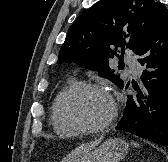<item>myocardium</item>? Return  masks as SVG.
Returning a JSON list of instances; mask_svg holds the SVG:
<instances>
[{"instance_id":"1","label":"myocardium","mask_w":168,"mask_h":162,"mask_svg":"<svg viewBox=\"0 0 168 162\" xmlns=\"http://www.w3.org/2000/svg\"><path fill=\"white\" fill-rule=\"evenodd\" d=\"M82 90H94L98 92H102L109 97L112 102V112L107 120L98 125H85L74 118H72L67 112V102L68 100L77 92ZM118 113V107L111 96V94L101 85L92 83V82H78L70 86L68 89L64 91L61 95L59 102H58V114L60 119L70 128L76 130L77 132H84V133H94V132H102L107 130L111 127L113 122L115 121Z\"/></svg>"}]
</instances>
